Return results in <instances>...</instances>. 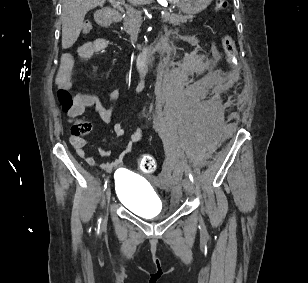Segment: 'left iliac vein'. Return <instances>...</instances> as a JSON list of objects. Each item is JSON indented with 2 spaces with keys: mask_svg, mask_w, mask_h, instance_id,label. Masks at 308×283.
Listing matches in <instances>:
<instances>
[{
  "mask_svg": "<svg viewBox=\"0 0 308 283\" xmlns=\"http://www.w3.org/2000/svg\"><path fill=\"white\" fill-rule=\"evenodd\" d=\"M183 186L187 194L192 195L195 191L193 182L189 178H185L183 181Z\"/></svg>",
  "mask_w": 308,
  "mask_h": 283,
  "instance_id": "left-iliac-vein-1",
  "label": "left iliac vein"
}]
</instances>
